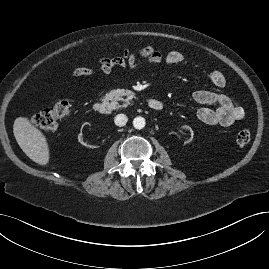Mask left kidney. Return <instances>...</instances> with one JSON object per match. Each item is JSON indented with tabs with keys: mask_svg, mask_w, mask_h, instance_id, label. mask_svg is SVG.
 <instances>
[{
	"mask_svg": "<svg viewBox=\"0 0 269 269\" xmlns=\"http://www.w3.org/2000/svg\"><path fill=\"white\" fill-rule=\"evenodd\" d=\"M181 129L182 134L186 136L185 143H190L194 135L192 128L188 125H184L181 127Z\"/></svg>",
	"mask_w": 269,
	"mask_h": 269,
	"instance_id": "left-kidney-1",
	"label": "left kidney"
}]
</instances>
